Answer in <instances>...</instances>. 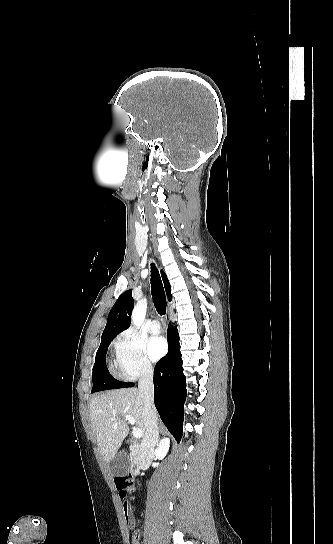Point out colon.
<instances>
[{
	"label": "colon",
	"mask_w": 333,
	"mask_h": 544,
	"mask_svg": "<svg viewBox=\"0 0 333 544\" xmlns=\"http://www.w3.org/2000/svg\"><path fill=\"white\" fill-rule=\"evenodd\" d=\"M116 486L117 489L120 491V495L124 503H127L129 497L131 496L132 492L135 488V482L134 478L130 475L122 476L116 478ZM139 536L138 534L135 535L133 539V544H139L138 542Z\"/></svg>",
	"instance_id": "5ec220e1"
}]
</instances>
